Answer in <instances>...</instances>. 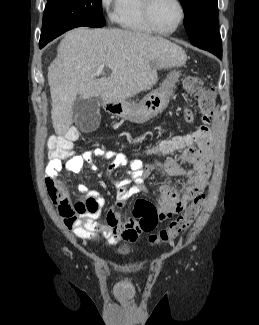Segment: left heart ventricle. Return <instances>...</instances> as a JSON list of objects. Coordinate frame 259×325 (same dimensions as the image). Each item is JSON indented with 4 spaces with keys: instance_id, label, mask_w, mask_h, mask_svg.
<instances>
[{
    "instance_id": "1",
    "label": "left heart ventricle",
    "mask_w": 259,
    "mask_h": 325,
    "mask_svg": "<svg viewBox=\"0 0 259 325\" xmlns=\"http://www.w3.org/2000/svg\"><path fill=\"white\" fill-rule=\"evenodd\" d=\"M155 25L161 30H171L177 24L180 10L175 0H155L152 7Z\"/></svg>"
}]
</instances>
